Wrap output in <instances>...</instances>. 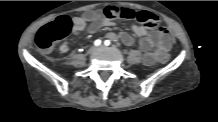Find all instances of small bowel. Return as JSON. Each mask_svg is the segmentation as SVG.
I'll return each mask as SVG.
<instances>
[{"label": "small bowel", "instance_id": "c3829d8e", "mask_svg": "<svg viewBox=\"0 0 218 122\" xmlns=\"http://www.w3.org/2000/svg\"><path fill=\"white\" fill-rule=\"evenodd\" d=\"M112 25V21L103 11L95 10L88 11L72 19V32L74 35H79L86 28L90 33H95L101 27ZM131 30L135 36L140 38L139 49L143 52V62L150 66L157 63V56L163 55L165 51H169L172 45V39L169 33L161 28L149 31L146 26L134 24ZM108 38L111 40H120L127 46L135 44V38L127 33H109ZM62 53L69 50V42H63L60 47Z\"/></svg>", "mask_w": 218, "mask_h": 122}]
</instances>
